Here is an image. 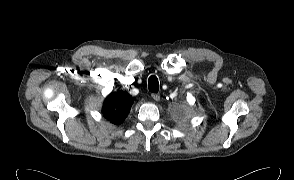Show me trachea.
<instances>
[{
	"mask_svg": "<svg viewBox=\"0 0 294 180\" xmlns=\"http://www.w3.org/2000/svg\"><path fill=\"white\" fill-rule=\"evenodd\" d=\"M148 88L149 91L153 92V93H157L159 90V83H158V79L155 75H152L149 77L148 80Z\"/></svg>",
	"mask_w": 294,
	"mask_h": 180,
	"instance_id": "1",
	"label": "trachea"
}]
</instances>
